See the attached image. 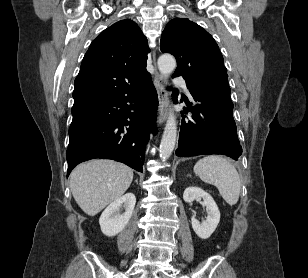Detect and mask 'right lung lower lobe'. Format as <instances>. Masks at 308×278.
<instances>
[{"mask_svg": "<svg viewBox=\"0 0 308 278\" xmlns=\"http://www.w3.org/2000/svg\"><path fill=\"white\" fill-rule=\"evenodd\" d=\"M157 92L151 77L125 96L72 111L67 176L80 162L107 158L142 172L148 133L156 132Z\"/></svg>", "mask_w": 308, "mask_h": 278, "instance_id": "98d812e1", "label": "right lung lower lobe"}]
</instances>
